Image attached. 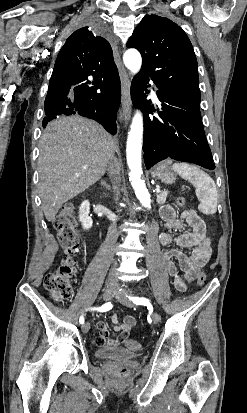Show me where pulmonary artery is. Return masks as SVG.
<instances>
[{
  "mask_svg": "<svg viewBox=\"0 0 247 413\" xmlns=\"http://www.w3.org/2000/svg\"><path fill=\"white\" fill-rule=\"evenodd\" d=\"M151 97H152L154 100L157 99L156 93H155V91H154L153 89H152V92H151Z\"/></svg>",
  "mask_w": 247,
  "mask_h": 413,
  "instance_id": "pulmonary-artery-1",
  "label": "pulmonary artery"
}]
</instances>
